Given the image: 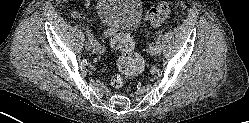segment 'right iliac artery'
Returning <instances> with one entry per match:
<instances>
[{"instance_id":"obj_1","label":"right iliac artery","mask_w":249,"mask_h":123,"mask_svg":"<svg viewBox=\"0 0 249 123\" xmlns=\"http://www.w3.org/2000/svg\"><path fill=\"white\" fill-rule=\"evenodd\" d=\"M86 35L88 36L89 41L97 51L104 52L105 48L97 42V40L94 38V36L89 30H86Z\"/></svg>"}]
</instances>
